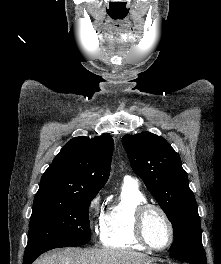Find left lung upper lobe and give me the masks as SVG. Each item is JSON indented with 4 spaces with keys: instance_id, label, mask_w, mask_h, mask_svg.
I'll list each match as a JSON object with an SVG mask.
<instances>
[{
    "instance_id": "obj_1",
    "label": "left lung upper lobe",
    "mask_w": 221,
    "mask_h": 264,
    "mask_svg": "<svg viewBox=\"0 0 221 264\" xmlns=\"http://www.w3.org/2000/svg\"><path fill=\"white\" fill-rule=\"evenodd\" d=\"M122 144L133 171L172 223L175 238L169 251L202 249L198 208L180 156L164 138L150 132L125 135Z\"/></svg>"
}]
</instances>
